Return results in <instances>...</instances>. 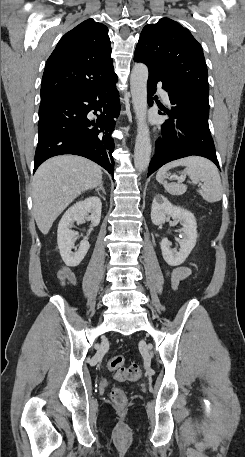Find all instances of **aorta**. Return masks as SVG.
I'll list each match as a JSON object with an SVG mask.
<instances>
[{
    "label": "aorta",
    "mask_w": 245,
    "mask_h": 457,
    "mask_svg": "<svg viewBox=\"0 0 245 457\" xmlns=\"http://www.w3.org/2000/svg\"><path fill=\"white\" fill-rule=\"evenodd\" d=\"M148 75L147 66L143 63H137L134 65L130 76L132 103L137 119L134 165L139 172L147 169L152 151L150 132L146 123Z\"/></svg>",
    "instance_id": "aorta-1"
}]
</instances>
